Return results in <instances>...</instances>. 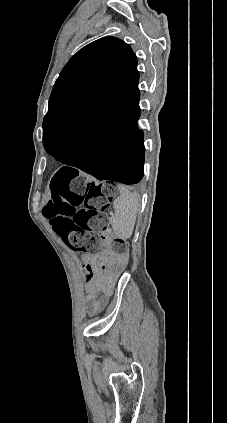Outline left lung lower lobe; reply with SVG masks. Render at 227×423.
<instances>
[{"mask_svg":"<svg viewBox=\"0 0 227 423\" xmlns=\"http://www.w3.org/2000/svg\"><path fill=\"white\" fill-rule=\"evenodd\" d=\"M140 112L109 113L81 134L52 141L45 148L58 161L77 167L99 180L131 185L143 177V132L138 129ZM73 176L78 170L64 167Z\"/></svg>","mask_w":227,"mask_h":423,"instance_id":"1","label":"left lung lower lobe"}]
</instances>
